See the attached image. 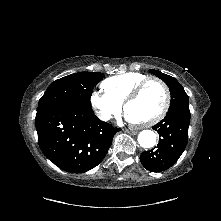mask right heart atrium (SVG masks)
<instances>
[{"mask_svg":"<svg viewBox=\"0 0 221 221\" xmlns=\"http://www.w3.org/2000/svg\"><path fill=\"white\" fill-rule=\"evenodd\" d=\"M90 102L97 117L103 121H107L111 116L117 115L122 107L120 103L110 98L106 93L98 90L91 94Z\"/></svg>","mask_w":221,"mask_h":221,"instance_id":"obj_1","label":"right heart atrium"}]
</instances>
